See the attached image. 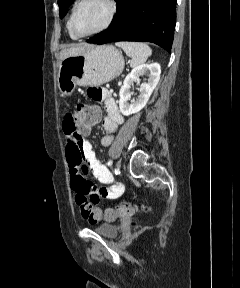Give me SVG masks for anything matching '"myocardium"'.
Masks as SVG:
<instances>
[{"label": "myocardium", "instance_id": "obj_1", "mask_svg": "<svg viewBox=\"0 0 240 288\" xmlns=\"http://www.w3.org/2000/svg\"><path fill=\"white\" fill-rule=\"evenodd\" d=\"M87 0H79L76 5L74 6L70 19H69V28L71 30V32L77 37V38H85V37H89L98 33H101L103 31H105L113 22L114 18H115V14H116V4L114 2V0H104L105 3L108 6V15L106 17V20L104 21V23L97 29L86 33V34H79L75 31L74 29V18L75 15L79 9V7L85 3Z\"/></svg>", "mask_w": 240, "mask_h": 288}]
</instances>
